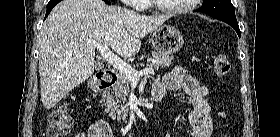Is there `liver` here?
I'll return each mask as SVG.
<instances>
[{"mask_svg": "<svg viewBox=\"0 0 280 137\" xmlns=\"http://www.w3.org/2000/svg\"><path fill=\"white\" fill-rule=\"evenodd\" d=\"M170 16H145L102 0H63L43 24L39 42L41 100L54 107L94 73V44L108 45L122 57H132L141 39Z\"/></svg>", "mask_w": 280, "mask_h": 137, "instance_id": "6515ba94", "label": "liver"}]
</instances>
